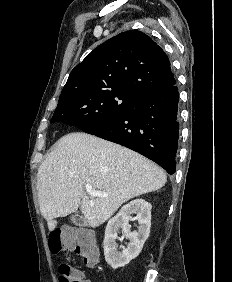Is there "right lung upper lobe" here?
<instances>
[{
  "instance_id": "obj_1",
  "label": "right lung upper lobe",
  "mask_w": 232,
  "mask_h": 282,
  "mask_svg": "<svg viewBox=\"0 0 232 282\" xmlns=\"http://www.w3.org/2000/svg\"><path fill=\"white\" fill-rule=\"evenodd\" d=\"M174 82L162 48L141 31H126L98 46L71 71L59 101L107 90H128L142 97Z\"/></svg>"
}]
</instances>
